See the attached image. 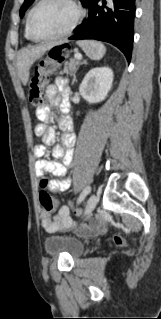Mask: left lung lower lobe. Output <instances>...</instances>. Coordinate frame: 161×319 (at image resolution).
Listing matches in <instances>:
<instances>
[{
    "label": "left lung lower lobe",
    "mask_w": 161,
    "mask_h": 319,
    "mask_svg": "<svg viewBox=\"0 0 161 319\" xmlns=\"http://www.w3.org/2000/svg\"><path fill=\"white\" fill-rule=\"evenodd\" d=\"M90 0L89 16L75 28L71 40L95 39L119 48L130 62L133 48L135 0Z\"/></svg>",
    "instance_id": "0a47b994"
}]
</instances>
